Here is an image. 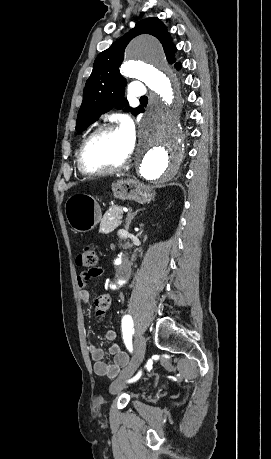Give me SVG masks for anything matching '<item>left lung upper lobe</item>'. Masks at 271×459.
<instances>
[{"label": "left lung upper lobe", "mask_w": 271, "mask_h": 459, "mask_svg": "<svg viewBox=\"0 0 271 459\" xmlns=\"http://www.w3.org/2000/svg\"><path fill=\"white\" fill-rule=\"evenodd\" d=\"M140 34L155 36L162 44L168 62H175L176 47L172 43L170 34L165 25L155 17L147 18L136 23L135 28L114 42L111 47L101 52L93 65V71L86 81L83 102L78 112L76 131L83 132L98 117L116 106L127 105L122 99L126 80L119 72V66L124 59V51L128 43ZM137 115L142 110L138 108H125Z\"/></svg>", "instance_id": "1"}]
</instances>
